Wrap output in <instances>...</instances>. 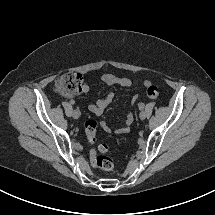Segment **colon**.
Here are the masks:
<instances>
[{
	"instance_id": "colon-1",
	"label": "colon",
	"mask_w": 215,
	"mask_h": 215,
	"mask_svg": "<svg viewBox=\"0 0 215 215\" xmlns=\"http://www.w3.org/2000/svg\"><path fill=\"white\" fill-rule=\"evenodd\" d=\"M83 78L77 72H66L62 74L57 82L56 88L60 93L74 95L83 92ZM160 94V87L157 84H148L146 87V95L150 99H155ZM96 120H88L85 124V131L88 141L95 144L96 139ZM108 147L105 144H98L90 150V163L92 167L109 172L113 170V160L108 156ZM99 152V153H98Z\"/></svg>"
}]
</instances>
